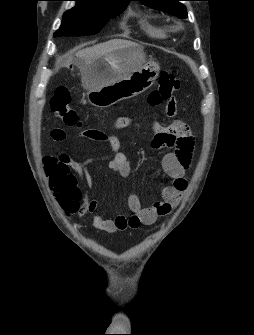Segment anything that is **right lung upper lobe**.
Segmentation results:
<instances>
[{
  "mask_svg": "<svg viewBox=\"0 0 254 335\" xmlns=\"http://www.w3.org/2000/svg\"><path fill=\"white\" fill-rule=\"evenodd\" d=\"M78 2H89V3H99V4H114V5H125L131 0H75Z\"/></svg>",
  "mask_w": 254,
  "mask_h": 335,
  "instance_id": "obj_1",
  "label": "right lung upper lobe"
}]
</instances>
